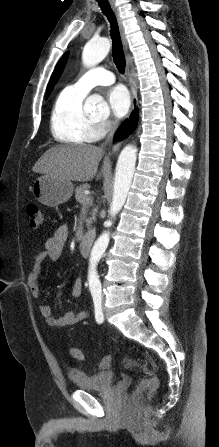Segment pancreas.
Returning a JSON list of instances; mask_svg holds the SVG:
<instances>
[{
  "mask_svg": "<svg viewBox=\"0 0 219 447\" xmlns=\"http://www.w3.org/2000/svg\"><path fill=\"white\" fill-rule=\"evenodd\" d=\"M89 188H90L89 184H82V185L76 187V189H75L76 201L78 203H80L84 208H88V206L92 205V199L90 197H88L84 192L86 189H89ZM87 198H90L91 200L89 202H86L85 199H87ZM94 219H95V217L93 216L92 218L87 220L88 227L91 225V222Z\"/></svg>",
  "mask_w": 219,
  "mask_h": 447,
  "instance_id": "pancreas-1",
  "label": "pancreas"
}]
</instances>
